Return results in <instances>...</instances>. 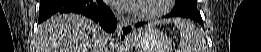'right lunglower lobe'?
<instances>
[{
	"instance_id": "obj_1",
	"label": "right lung lower lobe",
	"mask_w": 261,
	"mask_h": 52,
	"mask_svg": "<svg viewBox=\"0 0 261 52\" xmlns=\"http://www.w3.org/2000/svg\"><path fill=\"white\" fill-rule=\"evenodd\" d=\"M70 12L91 18L110 33L114 32L117 26V20L103 0H41L38 23L56 13Z\"/></svg>"
}]
</instances>
